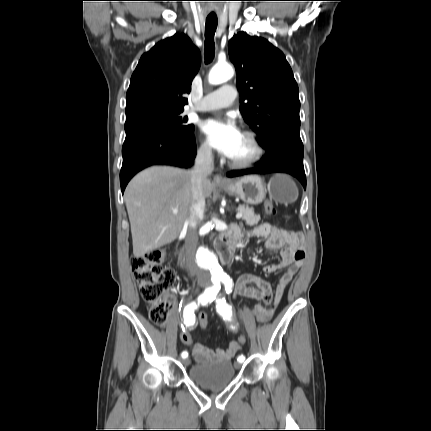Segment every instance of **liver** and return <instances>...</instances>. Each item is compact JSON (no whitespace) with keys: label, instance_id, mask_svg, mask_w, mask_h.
<instances>
[{"label":"liver","instance_id":"obj_1","mask_svg":"<svg viewBox=\"0 0 431 431\" xmlns=\"http://www.w3.org/2000/svg\"><path fill=\"white\" fill-rule=\"evenodd\" d=\"M210 197L214 184L202 183ZM124 200L131 225L136 258L174 241L190 214L192 203L190 171L153 166L137 174L128 184ZM173 209L178 213L174 214Z\"/></svg>","mask_w":431,"mask_h":431}]
</instances>
